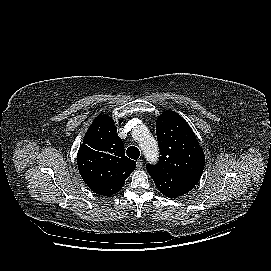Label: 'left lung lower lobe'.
Listing matches in <instances>:
<instances>
[{"label":"left lung lower lobe","instance_id":"1","mask_svg":"<svg viewBox=\"0 0 271 271\" xmlns=\"http://www.w3.org/2000/svg\"><path fill=\"white\" fill-rule=\"evenodd\" d=\"M175 183H176V186L172 192L174 197H172V198L182 196L195 187L194 184L187 182V181H184L182 179H177Z\"/></svg>","mask_w":271,"mask_h":271}]
</instances>
